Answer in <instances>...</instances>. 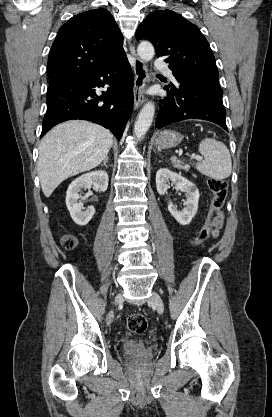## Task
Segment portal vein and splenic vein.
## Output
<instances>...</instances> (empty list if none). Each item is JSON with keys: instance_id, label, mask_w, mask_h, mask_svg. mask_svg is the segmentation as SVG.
<instances>
[{"instance_id": "18ae733b", "label": "portal vein and splenic vein", "mask_w": 272, "mask_h": 417, "mask_svg": "<svg viewBox=\"0 0 272 417\" xmlns=\"http://www.w3.org/2000/svg\"><path fill=\"white\" fill-rule=\"evenodd\" d=\"M191 159H196L198 161H201V160H203V157L195 155V154H191Z\"/></svg>"}]
</instances>
